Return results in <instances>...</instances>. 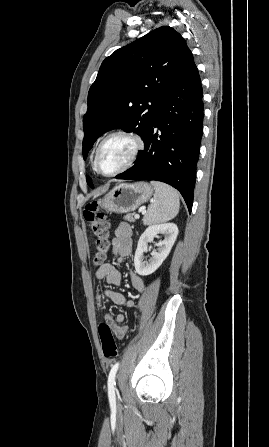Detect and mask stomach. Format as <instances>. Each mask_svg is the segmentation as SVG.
Returning a JSON list of instances; mask_svg holds the SVG:
<instances>
[{"instance_id":"1","label":"stomach","mask_w":269,"mask_h":447,"mask_svg":"<svg viewBox=\"0 0 269 447\" xmlns=\"http://www.w3.org/2000/svg\"><path fill=\"white\" fill-rule=\"evenodd\" d=\"M153 194V188L147 182L137 184H120L106 194L98 204L106 212L115 214H127L134 212L138 206L148 202Z\"/></svg>"}]
</instances>
